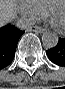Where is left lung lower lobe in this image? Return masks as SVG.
I'll return each instance as SVG.
<instances>
[{"label": "left lung lower lobe", "instance_id": "left-lung-lower-lobe-1", "mask_svg": "<svg viewBox=\"0 0 65 89\" xmlns=\"http://www.w3.org/2000/svg\"><path fill=\"white\" fill-rule=\"evenodd\" d=\"M46 53L53 63L65 67V37L60 38L58 44L47 50Z\"/></svg>", "mask_w": 65, "mask_h": 89}]
</instances>
